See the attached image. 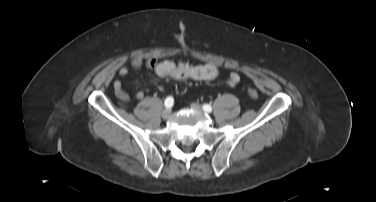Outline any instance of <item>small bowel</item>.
Listing matches in <instances>:
<instances>
[{"label": "small bowel", "mask_w": 376, "mask_h": 202, "mask_svg": "<svg viewBox=\"0 0 376 202\" xmlns=\"http://www.w3.org/2000/svg\"><path fill=\"white\" fill-rule=\"evenodd\" d=\"M131 66L134 69L146 66L151 69L158 78L173 79L177 81H209L216 79L219 75V66L215 63L190 64L188 62H177L172 60H144L142 57L136 56L132 59ZM128 73L129 68L127 66H122L118 70V75L120 77H125ZM239 81L240 77L238 74L231 73L229 75L228 84L230 86H236ZM113 92L121 102L127 103L130 101L129 94L124 90L122 82L118 79L113 82ZM143 97L144 93L142 91L135 93L136 100H142Z\"/></svg>", "instance_id": "small-bowel-1"}]
</instances>
